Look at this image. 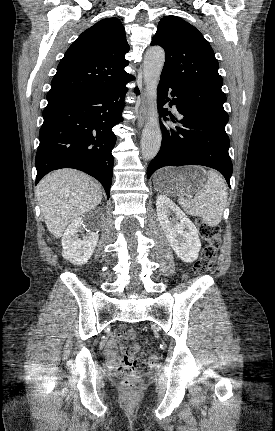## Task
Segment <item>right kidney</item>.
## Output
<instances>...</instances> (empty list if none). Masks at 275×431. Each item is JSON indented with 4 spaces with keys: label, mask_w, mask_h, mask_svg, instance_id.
<instances>
[{
    "label": "right kidney",
    "mask_w": 275,
    "mask_h": 431,
    "mask_svg": "<svg viewBox=\"0 0 275 431\" xmlns=\"http://www.w3.org/2000/svg\"><path fill=\"white\" fill-rule=\"evenodd\" d=\"M82 225V218H75L62 237V256L75 265H83L88 262L99 239L98 231H92L81 240L77 232Z\"/></svg>",
    "instance_id": "ca27d5eb"
}]
</instances>
